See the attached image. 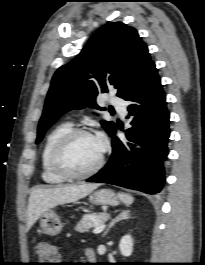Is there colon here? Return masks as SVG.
Masks as SVG:
<instances>
[{
	"label": "colon",
	"mask_w": 205,
	"mask_h": 265,
	"mask_svg": "<svg viewBox=\"0 0 205 265\" xmlns=\"http://www.w3.org/2000/svg\"><path fill=\"white\" fill-rule=\"evenodd\" d=\"M36 256L39 260V265H57L60 253L57 247L54 245L47 243V242H41L36 246Z\"/></svg>",
	"instance_id": "obj_1"
}]
</instances>
